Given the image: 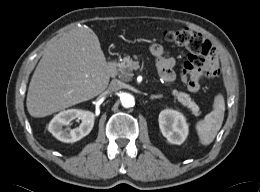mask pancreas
<instances>
[{
	"label": "pancreas",
	"instance_id": "cf45deb5",
	"mask_svg": "<svg viewBox=\"0 0 260 192\" xmlns=\"http://www.w3.org/2000/svg\"><path fill=\"white\" fill-rule=\"evenodd\" d=\"M133 60L130 56L123 57L119 63H117V75L124 81H129L133 76ZM172 95L178 100L184 107L189 108L192 114L198 116L200 114L198 105L191 99V97L184 92H180L176 89L172 90Z\"/></svg>",
	"mask_w": 260,
	"mask_h": 192
}]
</instances>
